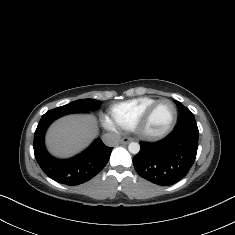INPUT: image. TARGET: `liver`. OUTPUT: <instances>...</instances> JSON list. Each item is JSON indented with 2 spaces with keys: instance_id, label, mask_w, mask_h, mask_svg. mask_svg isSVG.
<instances>
[{
  "instance_id": "1",
  "label": "liver",
  "mask_w": 235,
  "mask_h": 235,
  "mask_svg": "<svg viewBox=\"0 0 235 235\" xmlns=\"http://www.w3.org/2000/svg\"><path fill=\"white\" fill-rule=\"evenodd\" d=\"M98 122L93 114H72L56 120L49 127L45 143L55 157H71L98 135Z\"/></svg>"
}]
</instances>
